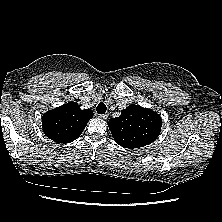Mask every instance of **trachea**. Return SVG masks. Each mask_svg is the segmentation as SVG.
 <instances>
[{"label": "trachea", "mask_w": 222, "mask_h": 222, "mask_svg": "<svg viewBox=\"0 0 222 222\" xmlns=\"http://www.w3.org/2000/svg\"><path fill=\"white\" fill-rule=\"evenodd\" d=\"M106 110H107V107H106V105H105L104 103H102V102L99 103L98 106H97V108H96V111H97L98 114H105Z\"/></svg>", "instance_id": "obj_1"}]
</instances>
